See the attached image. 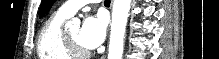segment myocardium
Returning <instances> with one entry per match:
<instances>
[{
	"mask_svg": "<svg viewBox=\"0 0 219 59\" xmlns=\"http://www.w3.org/2000/svg\"><path fill=\"white\" fill-rule=\"evenodd\" d=\"M64 45L67 52L76 58H84L90 55V51L86 48L79 47L69 36L66 29L63 30Z\"/></svg>",
	"mask_w": 219,
	"mask_h": 59,
	"instance_id": "myocardium-1",
	"label": "myocardium"
}]
</instances>
